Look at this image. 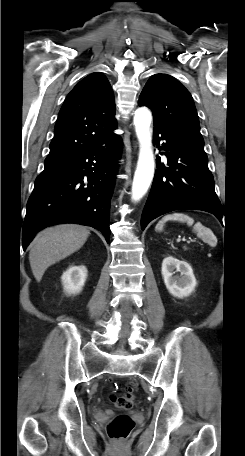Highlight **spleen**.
<instances>
[{"label":"spleen","mask_w":245,"mask_h":456,"mask_svg":"<svg viewBox=\"0 0 245 456\" xmlns=\"http://www.w3.org/2000/svg\"><path fill=\"white\" fill-rule=\"evenodd\" d=\"M167 221H179L186 222L187 225L192 226L194 224V219L184 213H173L167 214L157 223L155 230L160 232L163 230L164 224ZM193 231L197 234L198 237L202 238L205 242L209 243L211 246H215L217 239L213 232L203 226L200 222H197L193 226Z\"/></svg>","instance_id":"3e777b00"}]
</instances>
